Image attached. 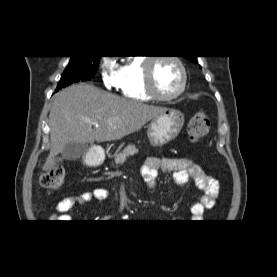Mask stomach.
Returning a JSON list of instances; mask_svg holds the SVG:
<instances>
[{
	"label": "stomach",
	"instance_id": "stomach-1",
	"mask_svg": "<svg viewBox=\"0 0 277 277\" xmlns=\"http://www.w3.org/2000/svg\"><path fill=\"white\" fill-rule=\"evenodd\" d=\"M184 125V115L178 110L167 109L151 119L147 136L153 146H162L175 139Z\"/></svg>",
	"mask_w": 277,
	"mask_h": 277
}]
</instances>
